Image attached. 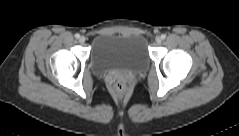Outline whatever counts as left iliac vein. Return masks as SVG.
I'll list each match as a JSON object with an SVG mask.
<instances>
[{
	"mask_svg": "<svg viewBox=\"0 0 239 136\" xmlns=\"http://www.w3.org/2000/svg\"><path fill=\"white\" fill-rule=\"evenodd\" d=\"M155 42H156L157 45L161 44V42H162L161 37L157 36V37L155 38Z\"/></svg>",
	"mask_w": 239,
	"mask_h": 136,
	"instance_id": "left-iliac-vein-1",
	"label": "left iliac vein"
}]
</instances>
